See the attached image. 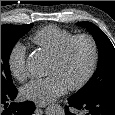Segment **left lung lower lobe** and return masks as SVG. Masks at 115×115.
<instances>
[{
  "mask_svg": "<svg viewBox=\"0 0 115 115\" xmlns=\"http://www.w3.org/2000/svg\"><path fill=\"white\" fill-rule=\"evenodd\" d=\"M69 106L65 107L66 115H75L70 108L84 110L85 115H115V95L105 94L85 100L72 96L68 98Z\"/></svg>",
  "mask_w": 115,
  "mask_h": 115,
  "instance_id": "obj_1",
  "label": "left lung lower lobe"
}]
</instances>
